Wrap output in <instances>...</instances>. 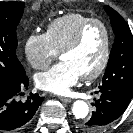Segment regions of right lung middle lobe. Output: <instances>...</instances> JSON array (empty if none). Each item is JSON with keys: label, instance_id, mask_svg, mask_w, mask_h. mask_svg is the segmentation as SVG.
<instances>
[{"label": "right lung middle lobe", "instance_id": "dd1d6c3e", "mask_svg": "<svg viewBox=\"0 0 133 133\" xmlns=\"http://www.w3.org/2000/svg\"><path fill=\"white\" fill-rule=\"evenodd\" d=\"M24 12V2H0V84L14 82L23 72L16 56V28Z\"/></svg>", "mask_w": 133, "mask_h": 133}]
</instances>
